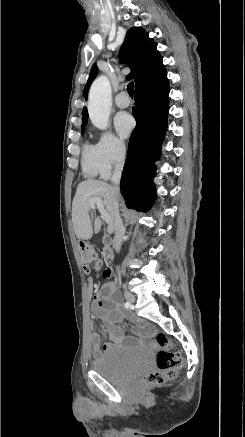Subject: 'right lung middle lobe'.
Listing matches in <instances>:
<instances>
[{"instance_id":"dd1d6c3e","label":"right lung middle lobe","mask_w":245,"mask_h":437,"mask_svg":"<svg viewBox=\"0 0 245 437\" xmlns=\"http://www.w3.org/2000/svg\"><path fill=\"white\" fill-rule=\"evenodd\" d=\"M84 127H85V126H82V134H83Z\"/></svg>"}]
</instances>
